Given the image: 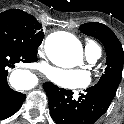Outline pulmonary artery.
Listing matches in <instances>:
<instances>
[{
  "label": "pulmonary artery",
  "mask_w": 124,
  "mask_h": 124,
  "mask_svg": "<svg viewBox=\"0 0 124 124\" xmlns=\"http://www.w3.org/2000/svg\"><path fill=\"white\" fill-rule=\"evenodd\" d=\"M100 55H101V51H97L95 53H89L87 54V59L90 62H96L97 59L100 57Z\"/></svg>",
  "instance_id": "e3ab8cb5"
}]
</instances>
